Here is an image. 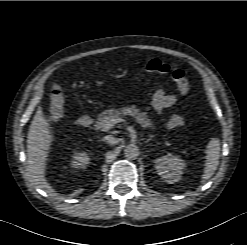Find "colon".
<instances>
[{
  "instance_id": "1",
  "label": "colon",
  "mask_w": 247,
  "mask_h": 245,
  "mask_svg": "<svg viewBox=\"0 0 247 245\" xmlns=\"http://www.w3.org/2000/svg\"><path fill=\"white\" fill-rule=\"evenodd\" d=\"M142 69L150 73L167 74L176 83L178 91L182 96H186L190 89V82L187 72L183 69H176L170 67L168 64L158 60L151 59L142 63ZM65 108V97L60 86H54L51 92L50 102V116L54 120L62 117ZM184 119L182 116L173 114L168 120V127L170 129H180L184 126Z\"/></svg>"
}]
</instances>
